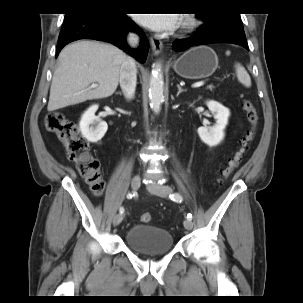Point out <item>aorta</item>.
<instances>
[{
	"label": "aorta",
	"instance_id": "762f6f07",
	"mask_svg": "<svg viewBox=\"0 0 303 303\" xmlns=\"http://www.w3.org/2000/svg\"><path fill=\"white\" fill-rule=\"evenodd\" d=\"M150 107L155 113H159L161 104L164 101V79L160 64L153 66L149 81Z\"/></svg>",
	"mask_w": 303,
	"mask_h": 303
}]
</instances>
